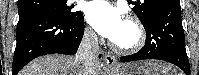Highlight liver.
<instances>
[{"label":"liver","instance_id":"6515ba94","mask_svg":"<svg viewBox=\"0 0 199 75\" xmlns=\"http://www.w3.org/2000/svg\"><path fill=\"white\" fill-rule=\"evenodd\" d=\"M83 70L84 64L77 56L47 55L31 61L18 75H83ZM95 73H106L104 66L99 62L96 64Z\"/></svg>","mask_w":199,"mask_h":75}]
</instances>
